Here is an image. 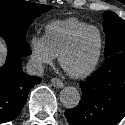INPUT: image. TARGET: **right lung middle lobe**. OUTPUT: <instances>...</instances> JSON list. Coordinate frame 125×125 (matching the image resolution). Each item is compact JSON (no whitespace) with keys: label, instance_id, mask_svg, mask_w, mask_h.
<instances>
[{"label":"right lung middle lobe","instance_id":"1","mask_svg":"<svg viewBox=\"0 0 125 125\" xmlns=\"http://www.w3.org/2000/svg\"><path fill=\"white\" fill-rule=\"evenodd\" d=\"M51 8L24 0H0V33L26 38V31L33 20Z\"/></svg>","mask_w":125,"mask_h":125}]
</instances>
